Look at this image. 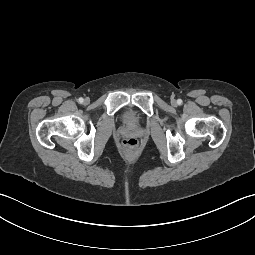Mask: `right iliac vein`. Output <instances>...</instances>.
Segmentation results:
<instances>
[{
  "label": "right iliac vein",
  "mask_w": 255,
  "mask_h": 255,
  "mask_svg": "<svg viewBox=\"0 0 255 255\" xmlns=\"http://www.w3.org/2000/svg\"><path fill=\"white\" fill-rule=\"evenodd\" d=\"M88 102H89V100H88V99H85V100H84V103H85V104H87Z\"/></svg>",
  "instance_id": "63e3f726"
}]
</instances>
